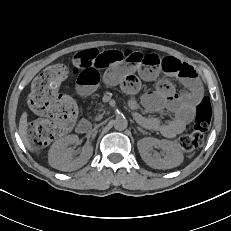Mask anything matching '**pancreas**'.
I'll return each instance as SVG.
<instances>
[{
    "instance_id": "cf45deb5",
    "label": "pancreas",
    "mask_w": 231,
    "mask_h": 231,
    "mask_svg": "<svg viewBox=\"0 0 231 231\" xmlns=\"http://www.w3.org/2000/svg\"><path fill=\"white\" fill-rule=\"evenodd\" d=\"M102 117H103V114H100V115L97 116V119L99 120V119H101Z\"/></svg>"
}]
</instances>
